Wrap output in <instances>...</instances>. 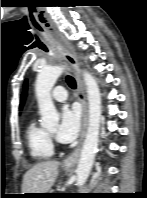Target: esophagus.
Returning a JSON list of instances; mask_svg holds the SVG:
<instances>
[{"label": "esophagus", "instance_id": "obj_1", "mask_svg": "<svg viewBox=\"0 0 147 198\" xmlns=\"http://www.w3.org/2000/svg\"><path fill=\"white\" fill-rule=\"evenodd\" d=\"M63 57L66 59V61L72 67L74 76L77 81L78 99L81 102L82 108H83V127H82L81 142H80L79 146L70 155H68L63 161V166L73 167L77 162L79 152L81 149V144H82V141L84 139L86 129H87V102H86L83 81L81 79V75L79 72V61H78L77 55L71 49L64 48Z\"/></svg>", "mask_w": 147, "mask_h": 198}]
</instances>
